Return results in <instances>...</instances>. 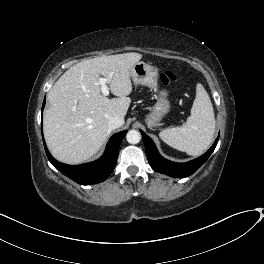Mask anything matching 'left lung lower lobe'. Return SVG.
Segmentation results:
<instances>
[{
    "instance_id": "left-lung-lower-lobe-1",
    "label": "left lung lower lobe",
    "mask_w": 264,
    "mask_h": 264,
    "mask_svg": "<svg viewBox=\"0 0 264 264\" xmlns=\"http://www.w3.org/2000/svg\"><path fill=\"white\" fill-rule=\"evenodd\" d=\"M141 134L144 140L147 158L151 167L159 173H163L175 178L190 176L198 168H200L214 151L219 139L218 137L212 147L202 156L186 163H176L163 158L157 151V148L151 138H149L143 131H141Z\"/></svg>"
}]
</instances>
